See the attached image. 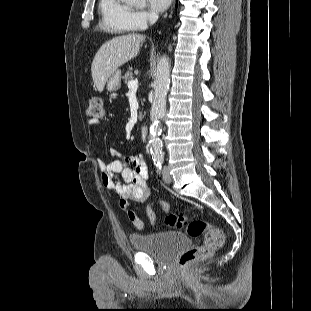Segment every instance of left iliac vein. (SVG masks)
I'll return each mask as SVG.
<instances>
[{"label":"left iliac vein","instance_id":"left-iliac-vein-1","mask_svg":"<svg viewBox=\"0 0 311 311\" xmlns=\"http://www.w3.org/2000/svg\"><path fill=\"white\" fill-rule=\"evenodd\" d=\"M163 180L165 183H170L171 182V175L169 172V168L167 166H165L163 168Z\"/></svg>","mask_w":311,"mask_h":311}]
</instances>
